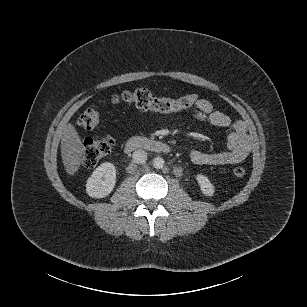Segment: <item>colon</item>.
Returning <instances> with one entry per match:
<instances>
[{
    "mask_svg": "<svg viewBox=\"0 0 307 307\" xmlns=\"http://www.w3.org/2000/svg\"><path fill=\"white\" fill-rule=\"evenodd\" d=\"M197 101V97L193 94L184 95L180 98L155 97L150 90L139 88L114 94L107 100V103L112 105L125 104L144 111L171 113L190 108ZM99 123L100 114L92 108L85 110L78 118V124L87 130L96 128ZM112 147L113 139L111 137L86 138L83 143L84 164L88 167L97 165L101 159L110 153ZM245 173V169L241 166H236L232 169V175L235 178H242Z\"/></svg>",
    "mask_w": 307,
    "mask_h": 307,
    "instance_id": "colon-1",
    "label": "colon"
}]
</instances>
